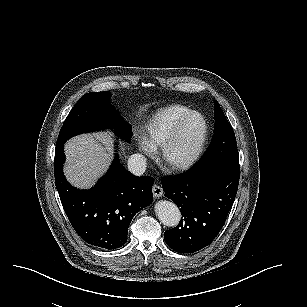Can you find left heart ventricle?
<instances>
[{
  "mask_svg": "<svg viewBox=\"0 0 307 307\" xmlns=\"http://www.w3.org/2000/svg\"><path fill=\"white\" fill-rule=\"evenodd\" d=\"M198 123V118L195 115H190L187 122L183 123L178 129L175 130V140L171 143L168 150L171 156L175 154H184L190 143L195 142L198 144L199 139L195 137L194 133L190 131L189 126L191 123Z\"/></svg>",
  "mask_w": 307,
  "mask_h": 307,
  "instance_id": "obj_1",
  "label": "left heart ventricle"
}]
</instances>
